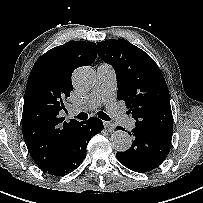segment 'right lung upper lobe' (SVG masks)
Masks as SVG:
<instances>
[{
	"label": "right lung upper lobe",
	"instance_id": "obj_1",
	"mask_svg": "<svg viewBox=\"0 0 203 203\" xmlns=\"http://www.w3.org/2000/svg\"><path fill=\"white\" fill-rule=\"evenodd\" d=\"M97 57L93 42L69 41L39 57L29 75L22 114V133L28 151L41 170L54 164L72 128L79 124L59 117L73 88L72 72Z\"/></svg>",
	"mask_w": 203,
	"mask_h": 203
}]
</instances>
